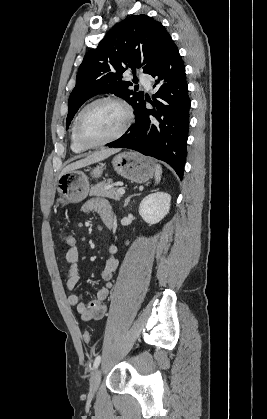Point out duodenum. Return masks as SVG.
<instances>
[{
    "label": "duodenum",
    "instance_id": "1",
    "mask_svg": "<svg viewBox=\"0 0 267 419\" xmlns=\"http://www.w3.org/2000/svg\"><path fill=\"white\" fill-rule=\"evenodd\" d=\"M112 224L113 223L110 220H108V221L105 222V225H106L107 228H111L112 227Z\"/></svg>",
    "mask_w": 267,
    "mask_h": 419
}]
</instances>
